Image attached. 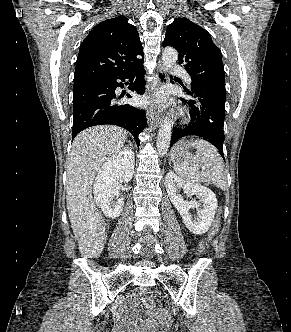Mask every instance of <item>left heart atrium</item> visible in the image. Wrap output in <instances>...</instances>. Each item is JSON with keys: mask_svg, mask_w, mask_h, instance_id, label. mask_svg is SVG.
<instances>
[{"mask_svg": "<svg viewBox=\"0 0 291 332\" xmlns=\"http://www.w3.org/2000/svg\"><path fill=\"white\" fill-rule=\"evenodd\" d=\"M163 99H164V94L161 93V94H158V95H157V99H156V101H157V102H162Z\"/></svg>", "mask_w": 291, "mask_h": 332, "instance_id": "1", "label": "left heart atrium"}]
</instances>
